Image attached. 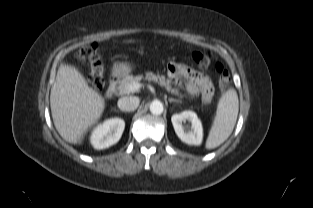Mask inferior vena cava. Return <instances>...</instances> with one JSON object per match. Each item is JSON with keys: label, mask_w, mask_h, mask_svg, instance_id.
Here are the masks:
<instances>
[{"label": "inferior vena cava", "mask_w": 313, "mask_h": 208, "mask_svg": "<svg viewBox=\"0 0 313 208\" xmlns=\"http://www.w3.org/2000/svg\"><path fill=\"white\" fill-rule=\"evenodd\" d=\"M118 107L122 111L130 112L137 109L139 106V98L134 96L122 97L118 100Z\"/></svg>", "instance_id": "obj_1"}]
</instances>
